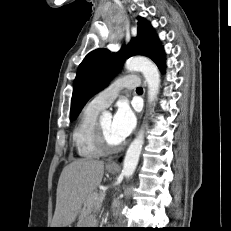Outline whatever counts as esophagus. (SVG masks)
<instances>
[{"label": "esophagus", "mask_w": 231, "mask_h": 231, "mask_svg": "<svg viewBox=\"0 0 231 231\" xmlns=\"http://www.w3.org/2000/svg\"><path fill=\"white\" fill-rule=\"evenodd\" d=\"M143 85L145 86V82H143ZM107 165L112 166V167H117L118 166L117 162L114 161V160H109Z\"/></svg>", "instance_id": "34e87169"}]
</instances>
